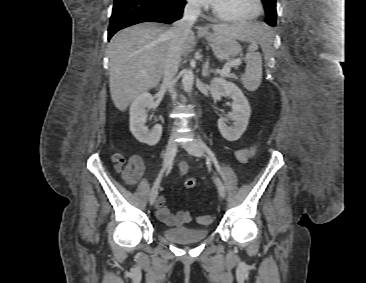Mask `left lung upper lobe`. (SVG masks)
I'll return each instance as SVG.
<instances>
[{
	"label": "left lung upper lobe",
	"instance_id": "left-lung-upper-lobe-1",
	"mask_svg": "<svg viewBox=\"0 0 366 283\" xmlns=\"http://www.w3.org/2000/svg\"><path fill=\"white\" fill-rule=\"evenodd\" d=\"M266 12V23L275 26L277 21L276 0H262Z\"/></svg>",
	"mask_w": 366,
	"mask_h": 283
}]
</instances>
